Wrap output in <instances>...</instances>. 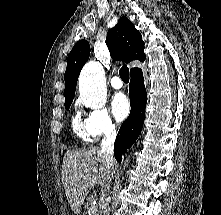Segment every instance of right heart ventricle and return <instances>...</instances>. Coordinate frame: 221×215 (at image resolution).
Returning <instances> with one entry per match:
<instances>
[{
	"mask_svg": "<svg viewBox=\"0 0 221 215\" xmlns=\"http://www.w3.org/2000/svg\"><path fill=\"white\" fill-rule=\"evenodd\" d=\"M72 127L74 132L84 141H89L90 136L88 135L85 124L81 121L80 116L77 114L72 119Z\"/></svg>",
	"mask_w": 221,
	"mask_h": 215,
	"instance_id": "1",
	"label": "right heart ventricle"
}]
</instances>
